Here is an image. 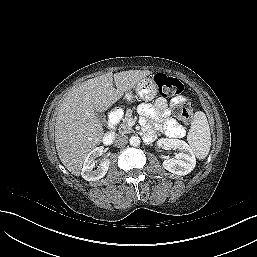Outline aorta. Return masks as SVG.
Returning a JSON list of instances; mask_svg holds the SVG:
<instances>
[{
    "mask_svg": "<svg viewBox=\"0 0 257 257\" xmlns=\"http://www.w3.org/2000/svg\"><path fill=\"white\" fill-rule=\"evenodd\" d=\"M140 142H141L140 137H138V136H131L130 137L129 143H130L131 146L136 147V146L140 145Z\"/></svg>",
    "mask_w": 257,
    "mask_h": 257,
    "instance_id": "obj_1",
    "label": "aorta"
}]
</instances>
